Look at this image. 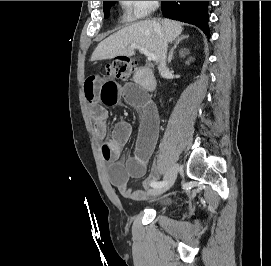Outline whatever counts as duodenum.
I'll list each match as a JSON object with an SVG mask.
<instances>
[{"label":"duodenum","instance_id":"410a0bca","mask_svg":"<svg viewBox=\"0 0 271 266\" xmlns=\"http://www.w3.org/2000/svg\"><path fill=\"white\" fill-rule=\"evenodd\" d=\"M135 82L147 91H153L156 81L152 72L146 67H139L134 75Z\"/></svg>","mask_w":271,"mask_h":266}]
</instances>
